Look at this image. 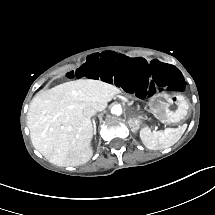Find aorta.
<instances>
[{"label":"aorta","instance_id":"1","mask_svg":"<svg viewBox=\"0 0 215 215\" xmlns=\"http://www.w3.org/2000/svg\"><path fill=\"white\" fill-rule=\"evenodd\" d=\"M111 113L114 114V115H121L122 114V107L120 105H114L112 108H111Z\"/></svg>","mask_w":215,"mask_h":215}]
</instances>
